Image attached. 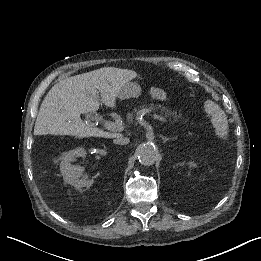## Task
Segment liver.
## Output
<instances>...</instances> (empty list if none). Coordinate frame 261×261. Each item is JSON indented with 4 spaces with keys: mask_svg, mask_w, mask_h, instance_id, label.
<instances>
[{
    "mask_svg": "<svg viewBox=\"0 0 261 261\" xmlns=\"http://www.w3.org/2000/svg\"><path fill=\"white\" fill-rule=\"evenodd\" d=\"M137 78L129 70L100 69L75 75L56 83L43 100L36 119L34 135H60L77 138H114L119 132H107L81 120L93 114L102 102L114 109L121 89Z\"/></svg>",
    "mask_w": 261,
    "mask_h": 261,
    "instance_id": "obj_1",
    "label": "liver"
}]
</instances>
